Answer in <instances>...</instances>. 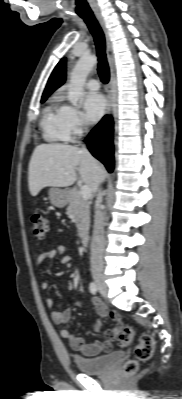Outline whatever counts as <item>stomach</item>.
<instances>
[{"mask_svg":"<svg viewBox=\"0 0 182 399\" xmlns=\"http://www.w3.org/2000/svg\"><path fill=\"white\" fill-rule=\"evenodd\" d=\"M48 194L51 204L57 208H63L69 202V196L67 192L58 187H52L49 189Z\"/></svg>","mask_w":182,"mask_h":399,"instance_id":"1","label":"stomach"}]
</instances>
